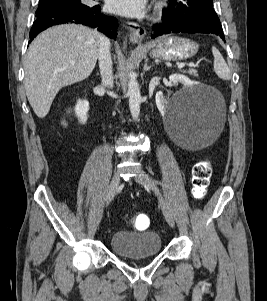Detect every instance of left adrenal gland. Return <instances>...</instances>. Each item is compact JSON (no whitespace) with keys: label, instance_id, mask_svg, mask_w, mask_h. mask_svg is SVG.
Segmentation results:
<instances>
[{"label":"left adrenal gland","instance_id":"left-adrenal-gland-1","mask_svg":"<svg viewBox=\"0 0 267 301\" xmlns=\"http://www.w3.org/2000/svg\"><path fill=\"white\" fill-rule=\"evenodd\" d=\"M153 65L148 66V59H145V64L143 67L144 72L148 71Z\"/></svg>","mask_w":267,"mask_h":301}]
</instances>
